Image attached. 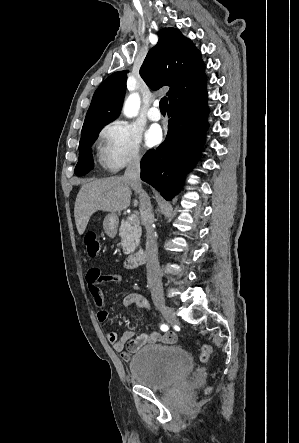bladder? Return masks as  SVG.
I'll return each mask as SVG.
<instances>
[{
  "label": "bladder",
  "mask_w": 299,
  "mask_h": 443,
  "mask_svg": "<svg viewBox=\"0 0 299 443\" xmlns=\"http://www.w3.org/2000/svg\"><path fill=\"white\" fill-rule=\"evenodd\" d=\"M132 378L153 390L167 388L187 378L193 369L190 353L178 345L143 348L129 363Z\"/></svg>",
  "instance_id": "obj_1"
}]
</instances>
